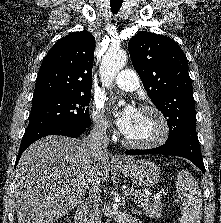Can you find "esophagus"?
Listing matches in <instances>:
<instances>
[{
  "label": "esophagus",
  "mask_w": 221,
  "mask_h": 223,
  "mask_svg": "<svg viewBox=\"0 0 221 223\" xmlns=\"http://www.w3.org/2000/svg\"><path fill=\"white\" fill-rule=\"evenodd\" d=\"M113 163H124V159L119 154H114L112 156Z\"/></svg>",
  "instance_id": "34e87169"
}]
</instances>
